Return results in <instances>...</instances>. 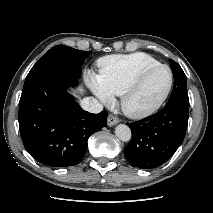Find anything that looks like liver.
<instances>
[{
	"label": "liver",
	"instance_id": "liver-1",
	"mask_svg": "<svg viewBox=\"0 0 213 213\" xmlns=\"http://www.w3.org/2000/svg\"><path fill=\"white\" fill-rule=\"evenodd\" d=\"M83 92H84V90H83V88L82 87H80L77 91H72V93L74 94V95H76V93H79V94H83Z\"/></svg>",
	"mask_w": 213,
	"mask_h": 213
}]
</instances>
